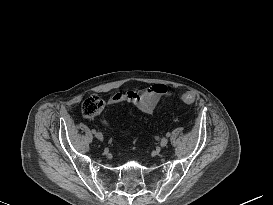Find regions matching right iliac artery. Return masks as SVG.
<instances>
[{
	"instance_id": "right-iliac-artery-1",
	"label": "right iliac artery",
	"mask_w": 273,
	"mask_h": 205,
	"mask_svg": "<svg viewBox=\"0 0 273 205\" xmlns=\"http://www.w3.org/2000/svg\"><path fill=\"white\" fill-rule=\"evenodd\" d=\"M92 133L95 134V133H96V130H95V129H92Z\"/></svg>"
}]
</instances>
